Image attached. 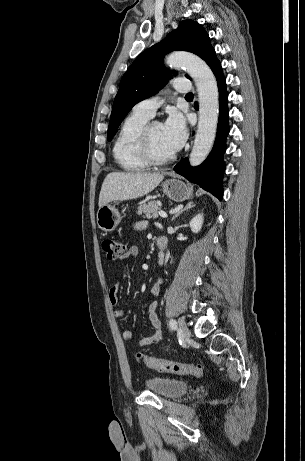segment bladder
<instances>
[{"mask_svg": "<svg viewBox=\"0 0 305 461\" xmlns=\"http://www.w3.org/2000/svg\"><path fill=\"white\" fill-rule=\"evenodd\" d=\"M146 387L153 393L165 398H176L189 389V383L182 379L153 376L145 381Z\"/></svg>", "mask_w": 305, "mask_h": 461, "instance_id": "obj_1", "label": "bladder"}]
</instances>
